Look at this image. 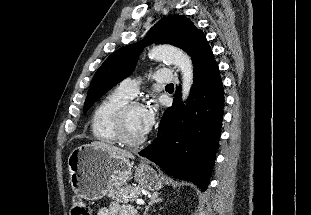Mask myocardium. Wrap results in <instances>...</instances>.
<instances>
[{
  "label": "myocardium",
  "mask_w": 311,
  "mask_h": 215,
  "mask_svg": "<svg viewBox=\"0 0 311 215\" xmlns=\"http://www.w3.org/2000/svg\"><path fill=\"white\" fill-rule=\"evenodd\" d=\"M135 107L142 108L143 106L139 101L129 100L128 102H126L125 104H123L122 106L118 108V110L115 113V117H114L115 130H116V134L119 139V142L124 145L131 146V147L139 146L143 144L146 140V137L144 136L140 139L131 138L127 132L126 116H127V113L132 108H135Z\"/></svg>",
  "instance_id": "myocardium-1"
}]
</instances>
